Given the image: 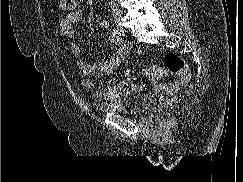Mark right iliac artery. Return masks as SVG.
Masks as SVG:
<instances>
[{"instance_id": "1", "label": "right iliac artery", "mask_w": 243, "mask_h": 182, "mask_svg": "<svg viewBox=\"0 0 243 182\" xmlns=\"http://www.w3.org/2000/svg\"><path fill=\"white\" fill-rule=\"evenodd\" d=\"M112 34H113V36L116 37L117 39H121V38H122V33H121L120 30H118V29H114Z\"/></svg>"}]
</instances>
